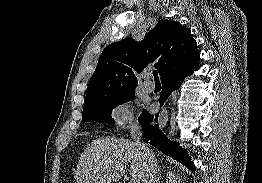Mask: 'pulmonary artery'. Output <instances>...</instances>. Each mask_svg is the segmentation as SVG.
Wrapping results in <instances>:
<instances>
[{"label": "pulmonary artery", "mask_w": 262, "mask_h": 183, "mask_svg": "<svg viewBox=\"0 0 262 183\" xmlns=\"http://www.w3.org/2000/svg\"><path fill=\"white\" fill-rule=\"evenodd\" d=\"M150 75L147 74L144 77V82H143V88L147 91V92H152L154 90V84L149 80Z\"/></svg>", "instance_id": "obj_1"}]
</instances>
